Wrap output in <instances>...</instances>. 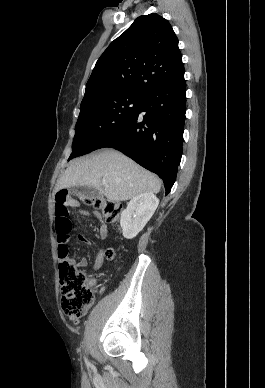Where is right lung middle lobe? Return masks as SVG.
Instances as JSON below:
<instances>
[{"label":"right lung middle lobe","instance_id":"obj_1","mask_svg":"<svg viewBox=\"0 0 265 388\" xmlns=\"http://www.w3.org/2000/svg\"><path fill=\"white\" fill-rule=\"evenodd\" d=\"M142 95L101 90L83 98L69 160L99 148L139 107Z\"/></svg>","mask_w":265,"mask_h":388}]
</instances>
